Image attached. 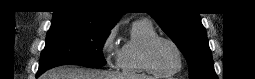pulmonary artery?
Instances as JSON below:
<instances>
[{"mask_svg": "<svg viewBox=\"0 0 255 79\" xmlns=\"http://www.w3.org/2000/svg\"><path fill=\"white\" fill-rule=\"evenodd\" d=\"M142 22L149 23L147 20H142Z\"/></svg>", "mask_w": 255, "mask_h": 79, "instance_id": "1", "label": "pulmonary artery"}]
</instances>
